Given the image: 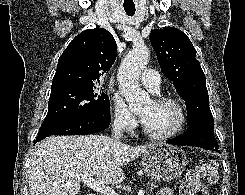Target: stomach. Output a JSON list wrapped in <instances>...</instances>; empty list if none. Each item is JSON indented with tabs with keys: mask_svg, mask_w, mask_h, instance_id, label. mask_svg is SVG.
<instances>
[{
	"mask_svg": "<svg viewBox=\"0 0 245 195\" xmlns=\"http://www.w3.org/2000/svg\"><path fill=\"white\" fill-rule=\"evenodd\" d=\"M188 163L185 152L176 146L158 144L142 155L145 174L156 181H170L179 177Z\"/></svg>",
	"mask_w": 245,
	"mask_h": 195,
	"instance_id": "stomach-1",
	"label": "stomach"
}]
</instances>
